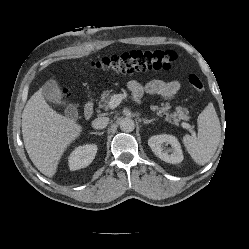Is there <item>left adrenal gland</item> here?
<instances>
[{"label":"left adrenal gland","mask_w":249,"mask_h":249,"mask_svg":"<svg viewBox=\"0 0 249 249\" xmlns=\"http://www.w3.org/2000/svg\"><path fill=\"white\" fill-rule=\"evenodd\" d=\"M142 121H143L144 124H150V123L156 121V119L155 118L150 119V120H148V119H142Z\"/></svg>","instance_id":"1"}]
</instances>
